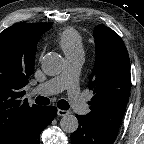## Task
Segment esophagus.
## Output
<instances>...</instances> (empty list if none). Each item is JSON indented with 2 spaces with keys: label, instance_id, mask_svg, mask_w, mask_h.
I'll list each match as a JSON object with an SVG mask.
<instances>
[{
  "label": "esophagus",
  "instance_id": "1",
  "mask_svg": "<svg viewBox=\"0 0 144 144\" xmlns=\"http://www.w3.org/2000/svg\"><path fill=\"white\" fill-rule=\"evenodd\" d=\"M57 114H58L59 116H65V115H68L69 112L66 111V110L58 109V110H57Z\"/></svg>",
  "mask_w": 144,
  "mask_h": 144
}]
</instances>
